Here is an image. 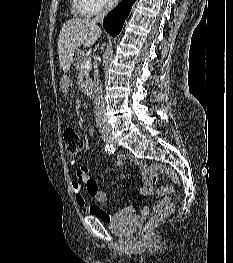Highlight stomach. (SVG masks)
Listing matches in <instances>:
<instances>
[{
  "instance_id": "1",
  "label": "stomach",
  "mask_w": 233,
  "mask_h": 263,
  "mask_svg": "<svg viewBox=\"0 0 233 263\" xmlns=\"http://www.w3.org/2000/svg\"><path fill=\"white\" fill-rule=\"evenodd\" d=\"M56 81L61 82L59 86L62 91H69L72 87V84L69 83L71 81L70 77H57Z\"/></svg>"
}]
</instances>
